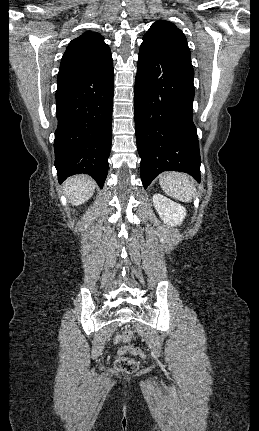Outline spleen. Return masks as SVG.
<instances>
[{
	"mask_svg": "<svg viewBox=\"0 0 259 431\" xmlns=\"http://www.w3.org/2000/svg\"><path fill=\"white\" fill-rule=\"evenodd\" d=\"M159 183L168 196L179 201L191 202L195 195L193 181L184 173L164 172L160 175Z\"/></svg>",
	"mask_w": 259,
	"mask_h": 431,
	"instance_id": "1",
	"label": "spleen"
}]
</instances>
